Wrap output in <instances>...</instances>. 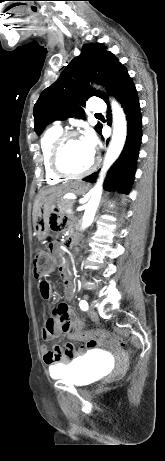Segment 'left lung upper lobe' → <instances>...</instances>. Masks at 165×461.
Instances as JSON below:
<instances>
[{
  "instance_id": "left-lung-upper-lobe-1",
  "label": "left lung upper lobe",
  "mask_w": 165,
  "mask_h": 461,
  "mask_svg": "<svg viewBox=\"0 0 165 461\" xmlns=\"http://www.w3.org/2000/svg\"><path fill=\"white\" fill-rule=\"evenodd\" d=\"M126 68L102 44L90 43L82 47V53L75 57L63 70L59 79L46 88L34 106V129L41 134L44 127L54 120L69 117L84 119V110L88 98L106 96L86 83L96 82L106 87L111 93L120 74ZM101 124L95 126L100 131Z\"/></svg>"
}]
</instances>
